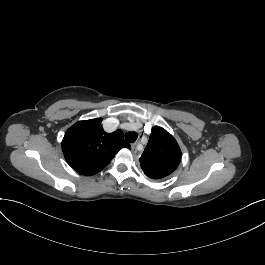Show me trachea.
<instances>
[{"label":"trachea","instance_id":"1","mask_svg":"<svg viewBox=\"0 0 265 265\" xmlns=\"http://www.w3.org/2000/svg\"><path fill=\"white\" fill-rule=\"evenodd\" d=\"M125 138L129 143H133L137 140L138 134L136 132H127Z\"/></svg>","mask_w":265,"mask_h":265}]
</instances>
